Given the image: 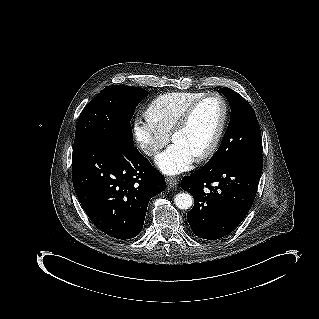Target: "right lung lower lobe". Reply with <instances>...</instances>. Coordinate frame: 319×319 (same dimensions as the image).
I'll return each instance as SVG.
<instances>
[{
    "mask_svg": "<svg viewBox=\"0 0 319 319\" xmlns=\"http://www.w3.org/2000/svg\"><path fill=\"white\" fill-rule=\"evenodd\" d=\"M72 179L83 209L105 234L137 236L149 200L165 190V178L136 147L105 139L73 147Z\"/></svg>",
    "mask_w": 319,
    "mask_h": 319,
    "instance_id": "right-lung-lower-lobe-1",
    "label": "right lung lower lobe"
}]
</instances>
